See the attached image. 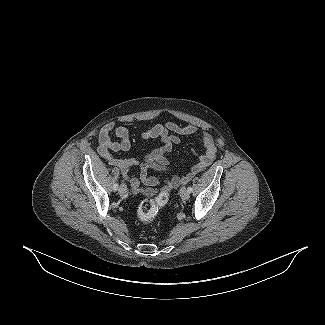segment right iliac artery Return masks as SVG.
<instances>
[{"mask_svg": "<svg viewBox=\"0 0 325 325\" xmlns=\"http://www.w3.org/2000/svg\"><path fill=\"white\" fill-rule=\"evenodd\" d=\"M117 189H118V184L116 183V184L113 185V190L117 191Z\"/></svg>", "mask_w": 325, "mask_h": 325, "instance_id": "right-iliac-artery-1", "label": "right iliac artery"}]
</instances>
